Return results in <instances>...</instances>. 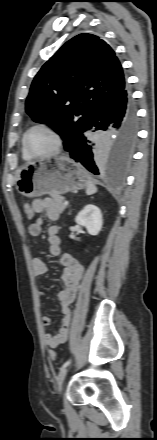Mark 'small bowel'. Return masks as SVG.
Here are the masks:
<instances>
[{
  "label": "small bowel",
  "instance_id": "small-bowel-1",
  "mask_svg": "<svg viewBox=\"0 0 157 440\" xmlns=\"http://www.w3.org/2000/svg\"><path fill=\"white\" fill-rule=\"evenodd\" d=\"M32 208L34 214H39V216H37L34 222L29 226V233L33 237H38L42 232L43 225V217L40 214L45 212L51 221H56L59 218V208L55 201L50 198L34 200ZM48 243L50 253L55 257H59L60 264L63 267V287L57 294L63 315L60 321V328L56 335L49 333L44 335L46 344L51 348H57L67 340L71 319V304L79 290L84 269L80 262L71 254L62 251L58 227L54 224L48 228ZM32 267L35 276H42L47 272L46 263L39 257L33 258ZM39 296L41 298L44 297V293L40 292ZM41 323L45 327L49 326L50 319L47 316H42Z\"/></svg>",
  "mask_w": 157,
  "mask_h": 440
}]
</instances>
